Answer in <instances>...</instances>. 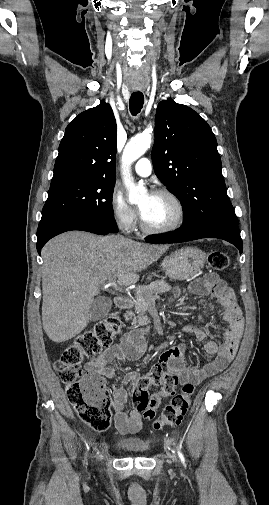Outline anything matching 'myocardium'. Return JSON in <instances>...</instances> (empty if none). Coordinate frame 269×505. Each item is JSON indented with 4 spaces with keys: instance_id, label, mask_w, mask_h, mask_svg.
Wrapping results in <instances>:
<instances>
[{
    "instance_id": "obj_1",
    "label": "myocardium",
    "mask_w": 269,
    "mask_h": 505,
    "mask_svg": "<svg viewBox=\"0 0 269 505\" xmlns=\"http://www.w3.org/2000/svg\"><path fill=\"white\" fill-rule=\"evenodd\" d=\"M153 194L165 196V197H168L169 199H171L174 202V204L176 205L177 210H178L177 218L173 223H171L169 225L157 227V226L149 225L145 221L143 215L141 214L140 215L141 228L145 232L151 233V234L168 233V232H172V231H175L178 228H180L183 225L185 218H186V209H185V206H184L183 202L181 201V199L174 192H172L168 189H159V190H156Z\"/></svg>"
}]
</instances>
